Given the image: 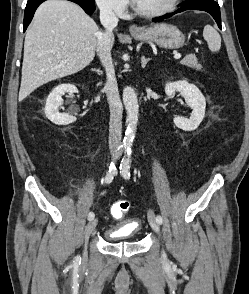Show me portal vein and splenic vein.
Here are the masks:
<instances>
[{"label":"portal vein and splenic vein","mask_w":249,"mask_h":294,"mask_svg":"<svg viewBox=\"0 0 249 294\" xmlns=\"http://www.w3.org/2000/svg\"><path fill=\"white\" fill-rule=\"evenodd\" d=\"M174 58H175V59H180V58H181V54H180V53L175 54V55H174Z\"/></svg>","instance_id":"portal-vein-and-splenic-vein-1"}]
</instances>
